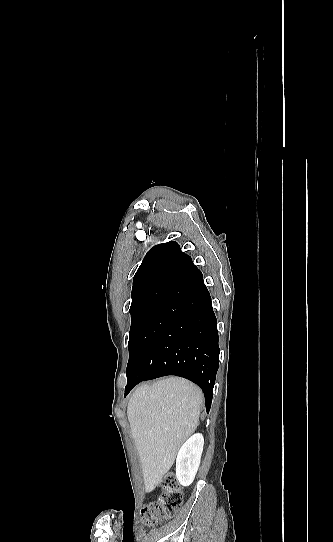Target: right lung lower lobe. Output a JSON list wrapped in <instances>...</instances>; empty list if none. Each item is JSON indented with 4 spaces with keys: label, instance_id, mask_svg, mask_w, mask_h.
Returning <instances> with one entry per match:
<instances>
[{
    "label": "right lung lower lobe",
    "instance_id": "98d812e1",
    "mask_svg": "<svg viewBox=\"0 0 333 542\" xmlns=\"http://www.w3.org/2000/svg\"><path fill=\"white\" fill-rule=\"evenodd\" d=\"M172 266L191 273L155 306L127 365L125 396L141 381L166 375L184 377L201 387L209 412L219 366L217 320L203 275L190 256L176 249Z\"/></svg>",
    "mask_w": 333,
    "mask_h": 542
}]
</instances>
